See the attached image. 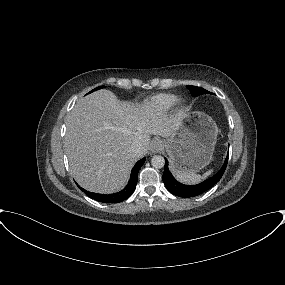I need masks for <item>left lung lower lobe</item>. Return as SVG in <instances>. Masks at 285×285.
Instances as JSON below:
<instances>
[{
    "mask_svg": "<svg viewBox=\"0 0 285 285\" xmlns=\"http://www.w3.org/2000/svg\"><path fill=\"white\" fill-rule=\"evenodd\" d=\"M227 162H228V156L226 157L224 165L219 170V172L215 174L213 177L205 180L204 182L197 185H184L175 180V178L168 169V161L167 159H165V168L162 180L167 190L176 196L182 198L198 196L207 191L208 189H210L211 187H213L221 179L226 169Z\"/></svg>",
    "mask_w": 285,
    "mask_h": 285,
    "instance_id": "left-lung-lower-lobe-1",
    "label": "left lung lower lobe"
}]
</instances>
